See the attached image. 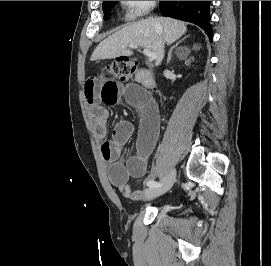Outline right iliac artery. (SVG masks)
Masks as SVG:
<instances>
[{"label":"right iliac artery","mask_w":271,"mask_h":266,"mask_svg":"<svg viewBox=\"0 0 271 266\" xmlns=\"http://www.w3.org/2000/svg\"><path fill=\"white\" fill-rule=\"evenodd\" d=\"M161 184L159 182H156V181H149L147 183V186H149L150 188H153V187H157V186H160Z\"/></svg>","instance_id":"obj_1"}]
</instances>
